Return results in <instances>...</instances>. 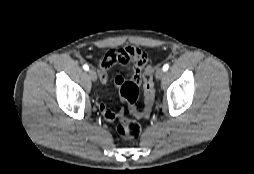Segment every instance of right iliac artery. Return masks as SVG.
Instances as JSON below:
<instances>
[{"label": "right iliac artery", "instance_id": "1", "mask_svg": "<svg viewBox=\"0 0 254 174\" xmlns=\"http://www.w3.org/2000/svg\"><path fill=\"white\" fill-rule=\"evenodd\" d=\"M83 68H84V70H86V71H88V70H89V66H88V65H86V64L83 66Z\"/></svg>", "mask_w": 254, "mask_h": 174}]
</instances>
